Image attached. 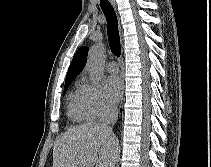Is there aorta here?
<instances>
[{
	"label": "aorta",
	"instance_id": "1",
	"mask_svg": "<svg viewBox=\"0 0 211 167\" xmlns=\"http://www.w3.org/2000/svg\"><path fill=\"white\" fill-rule=\"evenodd\" d=\"M105 55V47L103 44L93 46L89 52L87 59V67L91 73L93 84L97 85L103 80V58Z\"/></svg>",
	"mask_w": 211,
	"mask_h": 167
}]
</instances>
